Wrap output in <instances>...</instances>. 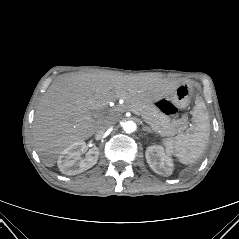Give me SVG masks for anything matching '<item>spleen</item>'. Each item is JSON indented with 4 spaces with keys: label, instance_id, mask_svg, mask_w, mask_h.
Segmentation results:
<instances>
[{
    "label": "spleen",
    "instance_id": "obj_1",
    "mask_svg": "<svg viewBox=\"0 0 239 239\" xmlns=\"http://www.w3.org/2000/svg\"><path fill=\"white\" fill-rule=\"evenodd\" d=\"M192 127L174 137L164 139L166 149H169L184 165L193 164L203 154L210 136V120L206 105L201 97H196L192 113Z\"/></svg>",
    "mask_w": 239,
    "mask_h": 239
}]
</instances>
